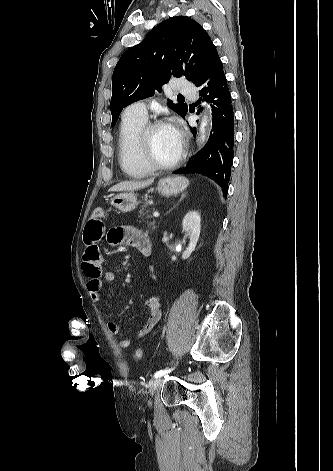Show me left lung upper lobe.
<instances>
[{
	"label": "left lung upper lobe",
	"mask_w": 333,
	"mask_h": 471,
	"mask_svg": "<svg viewBox=\"0 0 333 471\" xmlns=\"http://www.w3.org/2000/svg\"><path fill=\"white\" fill-rule=\"evenodd\" d=\"M216 51L206 31L189 17L176 16L158 24L140 44L121 56L114 69L111 126L124 107L152 96L155 90L161 92L172 76H185L195 84ZM168 102L185 117L186 104Z\"/></svg>",
	"instance_id": "left-lung-upper-lobe-1"
}]
</instances>
